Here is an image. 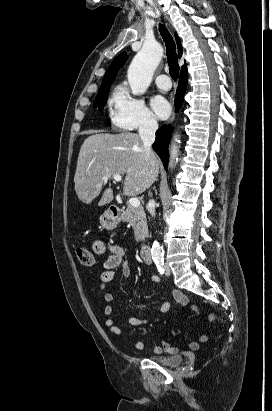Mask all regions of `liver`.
Segmentation results:
<instances>
[{
	"instance_id": "obj_1",
	"label": "liver",
	"mask_w": 272,
	"mask_h": 411,
	"mask_svg": "<svg viewBox=\"0 0 272 411\" xmlns=\"http://www.w3.org/2000/svg\"><path fill=\"white\" fill-rule=\"evenodd\" d=\"M159 162L152 153L147 166L141 138L136 133L120 134L96 133L82 144L74 176L75 191L78 198L90 204L101 192L107 181L104 176L126 175L124 195L143 193L155 180ZM113 190L107 188L98 203L104 206L113 200Z\"/></svg>"
}]
</instances>
